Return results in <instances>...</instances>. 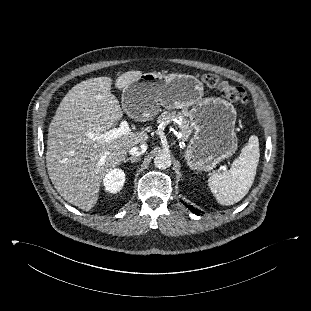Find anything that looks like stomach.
<instances>
[{"mask_svg": "<svg viewBox=\"0 0 311 311\" xmlns=\"http://www.w3.org/2000/svg\"><path fill=\"white\" fill-rule=\"evenodd\" d=\"M122 105L141 121L154 118L161 106L184 110L194 130L184 151L192 170H212L237 150L236 109L224 99L204 98L202 82L192 75L145 73L123 90Z\"/></svg>", "mask_w": 311, "mask_h": 311, "instance_id": "0dacf381", "label": "stomach"}]
</instances>
